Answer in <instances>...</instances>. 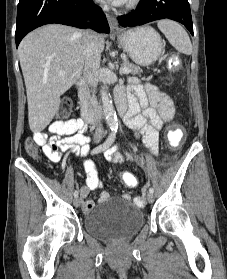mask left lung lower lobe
<instances>
[{
    "instance_id": "left-lung-lower-lobe-1",
    "label": "left lung lower lobe",
    "mask_w": 227,
    "mask_h": 279,
    "mask_svg": "<svg viewBox=\"0 0 227 279\" xmlns=\"http://www.w3.org/2000/svg\"><path fill=\"white\" fill-rule=\"evenodd\" d=\"M165 18L182 23L193 35L188 0H142L135 11L118 17V25L137 26Z\"/></svg>"
}]
</instances>
